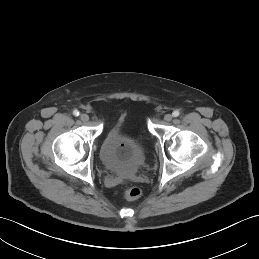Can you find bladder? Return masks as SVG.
<instances>
[{"label": "bladder", "mask_w": 259, "mask_h": 259, "mask_svg": "<svg viewBox=\"0 0 259 259\" xmlns=\"http://www.w3.org/2000/svg\"><path fill=\"white\" fill-rule=\"evenodd\" d=\"M99 157L107 170L123 177L135 175L145 163L143 149L123 132V119L107 131L100 145Z\"/></svg>", "instance_id": "obj_1"}]
</instances>
